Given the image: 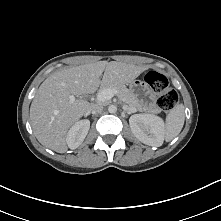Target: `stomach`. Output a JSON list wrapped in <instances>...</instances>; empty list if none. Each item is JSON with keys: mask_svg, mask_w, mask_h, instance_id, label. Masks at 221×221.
Wrapping results in <instances>:
<instances>
[{"mask_svg": "<svg viewBox=\"0 0 221 221\" xmlns=\"http://www.w3.org/2000/svg\"><path fill=\"white\" fill-rule=\"evenodd\" d=\"M129 90L138 99L140 104L145 106L148 91L147 84L142 80L135 79L129 83Z\"/></svg>", "mask_w": 221, "mask_h": 221, "instance_id": "0dacf381", "label": "stomach"}]
</instances>
